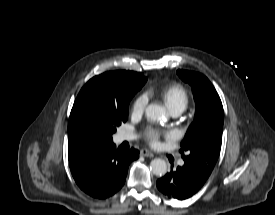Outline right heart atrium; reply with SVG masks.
I'll use <instances>...</instances> for the list:
<instances>
[{
    "mask_svg": "<svg viewBox=\"0 0 275 215\" xmlns=\"http://www.w3.org/2000/svg\"><path fill=\"white\" fill-rule=\"evenodd\" d=\"M148 103V96L145 93L139 94L133 101L131 111L133 115H141Z\"/></svg>",
    "mask_w": 275,
    "mask_h": 215,
    "instance_id": "right-heart-atrium-1",
    "label": "right heart atrium"
}]
</instances>
